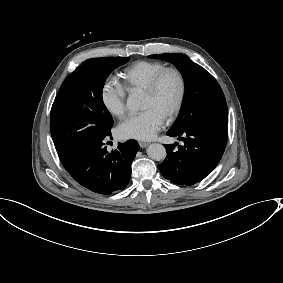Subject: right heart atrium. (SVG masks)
<instances>
[{"label": "right heart atrium", "mask_w": 283, "mask_h": 283, "mask_svg": "<svg viewBox=\"0 0 283 283\" xmlns=\"http://www.w3.org/2000/svg\"><path fill=\"white\" fill-rule=\"evenodd\" d=\"M101 100L105 108L115 117L123 118L126 114L127 91L116 78H108L101 86Z\"/></svg>", "instance_id": "1"}]
</instances>
